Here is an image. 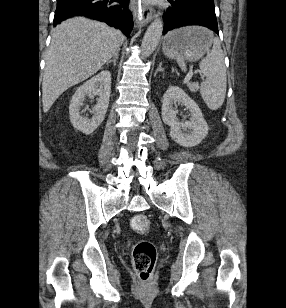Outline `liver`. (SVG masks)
Here are the masks:
<instances>
[{"instance_id":"6515ba94","label":"liver","mask_w":286,"mask_h":308,"mask_svg":"<svg viewBox=\"0 0 286 308\" xmlns=\"http://www.w3.org/2000/svg\"><path fill=\"white\" fill-rule=\"evenodd\" d=\"M123 41L124 35L119 30L84 17H74L58 25L51 33L45 57L43 111H49L68 88L99 71Z\"/></svg>"}]
</instances>
